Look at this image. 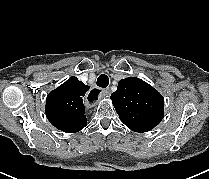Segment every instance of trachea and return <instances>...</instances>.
<instances>
[{
    "mask_svg": "<svg viewBox=\"0 0 209 179\" xmlns=\"http://www.w3.org/2000/svg\"><path fill=\"white\" fill-rule=\"evenodd\" d=\"M109 84V78L108 76L102 74L98 77L97 79V86L101 87V88H106Z\"/></svg>",
    "mask_w": 209,
    "mask_h": 179,
    "instance_id": "1",
    "label": "trachea"
}]
</instances>
